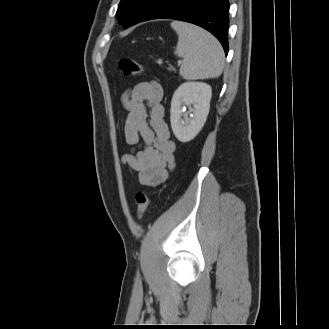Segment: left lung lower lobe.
<instances>
[{
	"mask_svg": "<svg viewBox=\"0 0 329 329\" xmlns=\"http://www.w3.org/2000/svg\"><path fill=\"white\" fill-rule=\"evenodd\" d=\"M228 0H152L129 24L167 18L196 24L211 32L228 53Z\"/></svg>",
	"mask_w": 329,
	"mask_h": 329,
	"instance_id": "0a47b994",
	"label": "left lung lower lobe"
}]
</instances>
